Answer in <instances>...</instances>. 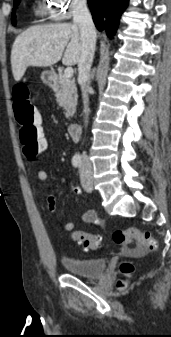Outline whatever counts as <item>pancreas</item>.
Segmentation results:
<instances>
[{
    "label": "pancreas",
    "instance_id": "obj_1",
    "mask_svg": "<svg viewBox=\"0 0 171 337\" xmlns=\"http://www.w3.org/2000/svg\"><path fill=\"white\" fill-rule=\"evenodd\" d=\"M57 102L65 110L66 118H72L77 105V89L75 82L64 76L59 79V85L55 89Z\"/></svg>",
    "mask_w": 171,
    "mask_h": 337
}]
</instances>
